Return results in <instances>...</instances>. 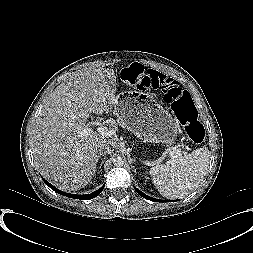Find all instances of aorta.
Returning <instances> with one entry per match:
<instances>
[{
  "label": "aorta",
  "mask_w": 253,
  "mask_h": 253,
  "mask_svg": "<svg viewBox=\"0 0 253 253\" xmlns=\"http://www.w3.org/2000/svg\"><path fill=\"white\" fill-rule=\"evenodd\" d=\"M113 164L116 167H121V166H123L125 164V159L122 156H116L113 159Z\"/></svg>",
  "instance_id": "obj_1"
}]
</instances>
